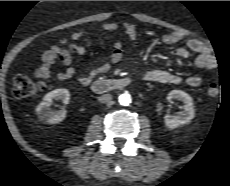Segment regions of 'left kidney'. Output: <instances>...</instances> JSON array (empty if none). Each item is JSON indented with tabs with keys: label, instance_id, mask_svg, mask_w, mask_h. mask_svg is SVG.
<instances>
[{
	"label": "left kidney",
	"instance_id": "left-kidney-1",
	"mask_svg": "<svg viewBox=\"0 0 230 186\" xmlns=\"http://www.w3.org/2000/svg\"><path fill=\"white\" fill-rule=\"evenodd\" d=\"M167 99L169 101L172 99H177L184 103V110L179 112L177 115H165L164 123L168 128H177L180 125L187 124L191 119L194 118L195 110L193 106V100L187 93L181 90H173L168 93Z\"/></svg>",
	"mask_w": 230,
	"mask_h": 186
}]
</instances>
